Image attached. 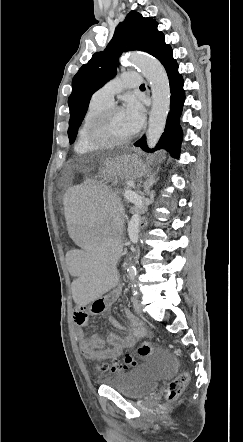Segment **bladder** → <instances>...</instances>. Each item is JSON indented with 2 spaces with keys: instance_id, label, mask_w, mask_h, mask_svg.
Wrapping results in <instances>:
<instances>
[{
  "instance_id": "obj_1",
  "label": "bladder",
  "mask_w": 243,
  "mask_h": 442,
  "mask_svg": "<svg viewBox=\"0 0 243 442\" xmlns=\"http://www.w3.org/2000/svg\"><path fill=\"white\" fill-rule=\"evenodd\" d=\"M175 362L168 356L157 354L147 362L128 372H118L104 378L102 383L130 399H139L153 392L158 384L172 376Z\"/></svg>"
}]
</instances>
